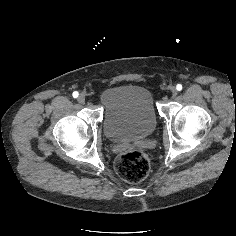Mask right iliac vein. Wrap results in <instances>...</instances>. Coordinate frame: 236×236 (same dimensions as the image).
Returning <instances> with one entry per match:
<instances>
[{
  "instance_id": "1",
  "label": "right iliac vein",
  "mask_w": 236,
  "mask_h": 236,
  "mask_svg": "<svg viewBox=\"0 0 236 236\" xmlns=\"http://www.w3.org/2000/svg\"><path fill=\"white\" fill-rule=\"evenodd\" d=\"M78 102L81 103V104H84L85 102V95L84 94H81L79 97H78Z\"/></svg>"
}]
</instances>
